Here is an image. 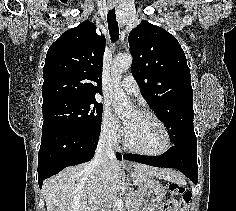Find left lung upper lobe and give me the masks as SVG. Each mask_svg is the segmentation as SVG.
Wrapping results in <instances>:
<instances>
[{"mask_svg":"<svg viewBox=\"0 0 236 211\" xmlns=\"http://www.w3.org/2000/svg\"><path fill=\"white\" fill-rule=\"evenodd\" d=\"M131 72L174 146L197 147L191 75L184 51L165 29L142 21L129 36Z\"/></svg>","mask_w":236,"mask_h":211,"instance_id":"1","label":"left lung upper lobe"}]
</instances>
